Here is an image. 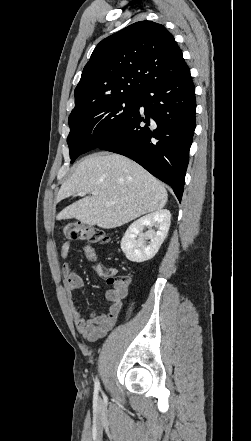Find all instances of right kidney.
Returning <instances> with one entry per match:
<instances>
[{
  "mask_svg": "<svg viewBox=\"0 0 251 441\" xmlns=\"http://www.w3.org/2000/svg\"><path fill=\"white\" fill-rule=\"evenodd\" d=\"M171 213L169 210H157L133 222L126 230L122 240L121 249L126 258L132 262L141 263L152 259L163 241L170 227ZM145 226L156 227L143 233ZM146 240H150L147 244Z\"/></svg>",
  "mask_w": 251,
  "mask_h": 441,
  "instance_id": "ca27d5eb",
  "label": "right kidney"
}]
</instances>
